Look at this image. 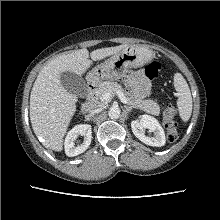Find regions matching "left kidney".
<instances>
[{
  "label": "left kidney",
  "mask_w": 220,
  "mask_h": 220,
  "mask_svg": "<svg viewBox=\"0 0 220 220\" xmlns=\"http://www.w3.org/2000/svg\"><path fill=\"white\" fill-rule=\"evenodd\" d=\"M133 134L144 144L155 147H162L166 143L165 133L157 119L149 115H141L139 119L131 122ZM144 129H149L154 136H146Z\"/></svg>",
  "instance_id": "obj_1"
}]
</instances>
